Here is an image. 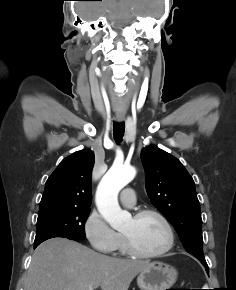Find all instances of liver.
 Returning <instances> with one entry per match:
<instances>
[{"instance_id":"6515ba94","label":"liver","mask_w":236,"mask_h":290,"mask_svg":"<svg viewBox=\"0 0 236 290\" xmlns=\"http://www.w3.org/2000/svg\"><path fill=\"white\" fill-rule=\"evenodd\" d=\"M148 261L103 255L65 238L41 243L33 253L25 290H128Z\"/></svg>"}]
</instances>
